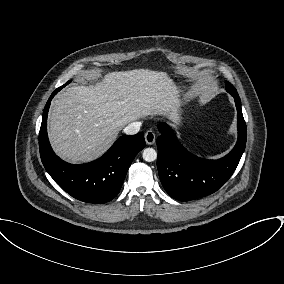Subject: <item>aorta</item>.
I'll use <instances>...</instances> for the list:
<instances>
[{
	"label": "aorta",
	"mask_w": 284,
	"mask_h": 284,
	"mask_svg": "<svg viewBox=\"0 0 284 284\" xmlns=\"http://www.w3.org/2000/svg\"><path fill=\"white\" fill-rule=\"evenodd\" d=\"M142 157L146 162H153L157 159V152L153 148H145L142 152Z\"/></svg>",
	"instance_id": "1"
}]
</instances>
